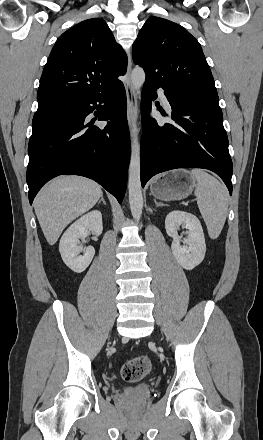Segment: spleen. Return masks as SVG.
<instances>
[{
	"label": "spleen",
	"mask_w": 263,
	"mask_h": 440,
	"mask_svg": "<svg viewBox=\"0 0 263 440\" xmlns=\"http://www.w3.org/2000/svg\"><path fill=\"white\" fill-rule=\"evenodd\" d=\"M190 174L197 180L195 196L200 213L211 239L219 237L226 221L229 193L224 184L202 169H193Z\"/></svg>",
	"instance_id": "spleen-1"
}]
</instances>
